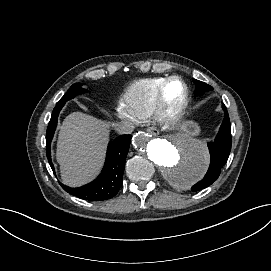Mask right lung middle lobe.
<instances>
[{"mask_svg": "<svg viewBox=\"0 0 271 271\" xmlns=\"http://www.w3.org/2000/svg\"><path fill=\"white\" fill-rule=\"evenodd\" d=\"M84 92L85 90L81 87L80 83L73 84L56 105L65 104L66 101Z\"/></svg>", "mask_w": 271, "mask_h": 271, "instance_id": "dd1d6c3e", "label": "right lung middle lobe"}]
</instances>
